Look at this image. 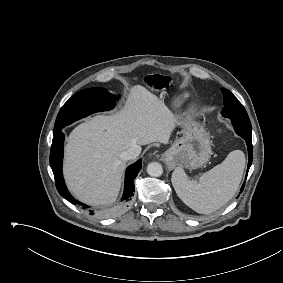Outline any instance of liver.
<instances>
[{
	"label": "liver",
	"instance_id": "1",
	"mask_svg": "<svg viewBox=\"0 0 283 283\" xmlns=\"http://www.w3.org/2000/svg\"><path fill=\"white\" fill-rule=\"evenodd\" d=\"M177 118L143 86L131 87L125 106L112 115H96L78 125L65 148L64 176L69 190L91 205L113 203L132 145L166 143Z\"/></svg>",
	"mask_w": 283,
	"mask_h": 283
}]
</instances>
